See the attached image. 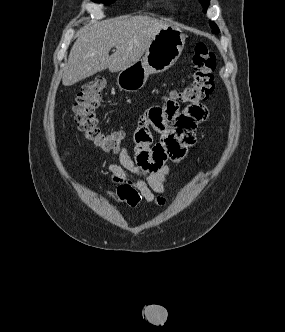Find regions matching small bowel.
<instances>
[{
	"mask_svg": "<svg viewBox=\"0 0 285 332\" xmlns=\"http://www.w3.org/2000/svg\"><path fill=\"white\" fill-rule=\"evenodd\" d=\"M207 117L204 105L184 109L176 96H162V106H147L133 132L134 156L122 146L118 150V163L108 165L111 180L117 185L111 194L130 207L142 201L163 204L170 174V167L165 164L167 159L184 157L196 142L197 125ZM152 133H161L159 142L153 143Z\"/></svg>",
	"mask_w": 285,
	"mask_h": 332,
	"instance_id": "c3829d8e",
	"label": "small bowel"
}]
</instances>
